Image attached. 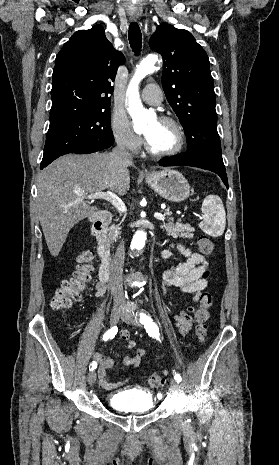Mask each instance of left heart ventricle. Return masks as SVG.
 I'll list each match as a JSON object with an SVG mask.
<instances>
[{"instance_id":"obj_1","label":"left heart ventricle","mask_w":279,"mask_h":465,"mask_svg":"<svg viewBox=\"0 0 279 465\" xmlns=\"http://www.w3.org/2000/svg\"><path fill=\"white\" fill-rule=\"evenodd\" d=\"M143 133L149 145L155 151H168L177 143L176 129L172 125L162 123L159 120H153L148 123Z\"/></svg>"}]
</instances>
